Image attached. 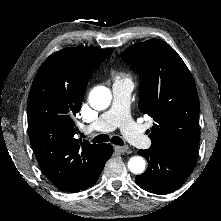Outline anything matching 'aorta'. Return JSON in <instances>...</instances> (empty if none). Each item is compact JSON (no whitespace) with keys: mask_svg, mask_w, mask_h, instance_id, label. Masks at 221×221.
Here are the masks:
<instances>
[{"mask_svg":"<svg viewBox=\"0 0 221 221\" xmlns=\"http://www.w3.org/2000/svg\"><path fill=\"white\" fill-rule=\"evenodd\" d=\"M112 95L104 86L95 87L89 95V104L95 110L106 109L111 102ZM145 160L140 156L131 157L128 161V169L133 174H142L145 170Z\"/></svg>","mask_w":221,"mask_h":221,"instance_id":"aorta-1","label":"aorta"}]
</instances>
